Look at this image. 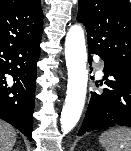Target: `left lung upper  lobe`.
I'll list each match as a JSON object with an SVG mask.
<instances>
[{"label": "left lung upper lobe", "instance_id": "obj_1", "mask_svg": "<svg viewBox=\"0 0 131 151\" xmlns=\"http://www.w3.org/2000/svg\"><path fill=\"white\" fill-rule=\"evenodd\" d=\"M89 51L131 71V4L128 0H79Z\"/></svg>", "mask_w": 131, "mask_h": 151}]
</instances>
